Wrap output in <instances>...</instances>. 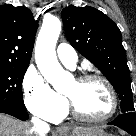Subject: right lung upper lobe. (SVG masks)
I'll return each instance as SVG.
<instances>
[{
  "label": "right lung upper lobe",
  "instance_id": "obj_1",
  "mask_svg": "<svg viewBox=\"0 0 136 136\" xmlns=\"http://www.w3.org/2000/svg\"><path fill=\"white\" fill-rule=\"evenodd\" d=\"M37 21L24 6H0V66H28L35 41Z\"/></svg>",
  "mask_w": 136,
  "mask_h": 136
}]
</instances>
